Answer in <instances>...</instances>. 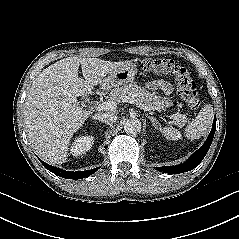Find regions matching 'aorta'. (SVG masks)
<instances>
[{
  "instance_id": "aorta-1",
  "label": "aorta",
  "mask_w": 239,
  "mask_h": 239,
  "mask_svg": "<svg viewBox=\"0 0 239 239\" xmlns=\"http://www.w3.org/2000/svg\"><path fill=\"white\" fill-rule=\"evenodd\" d=\"M124 130L128 134H136L141 130V122L136 118L127 119L124 123Z\"/></svg>"
}]
</instances>
